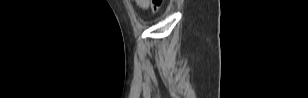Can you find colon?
<instances>
[{
	"mask_svg": "<svg viewBox=\"0 0 308 98\" xmlns=\"http://www.w3.org/2000/svg\"><path fill=\"white\" fill-rule=\"evenodd\" d=\"M163 0H136L137 5L147 8H151L153 13L157 12L162 5Z\"/></svg>",
	"mask_w": 308,
	"mask_h": 98,
	"instance_id": "colon-1",
	"label": "colon"
}]
</instances>
